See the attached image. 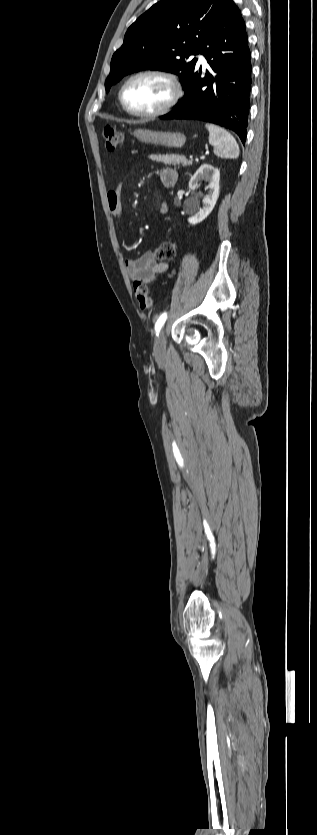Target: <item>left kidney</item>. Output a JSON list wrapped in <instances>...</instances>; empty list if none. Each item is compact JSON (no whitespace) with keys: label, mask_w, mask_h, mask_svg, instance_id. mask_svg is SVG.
<instances>
[{"label":"left kidney","mask_w":317,"mask_h":835,"mask_svg":"<svg viewBox=\"0 0 317 835\" xmlns=\"http://www.w3.org/2000/svg\"><path fill=\"white\" fill-rule=\"evenodd\" d=\"M202 180L208 182V193L203 197L202 203L203 207L198 208L199 211L195 213L192 217L188 218V222L190 224H198L202 222L207 216L212 212L218 196H219V181H220V172L218 168H214L210 164H202L200 168L195 172V174L191 177L189 181V187L191 189H196L199 185V182Z\"/></svg>","instance_id":"5707ae66"}]
</instances>
